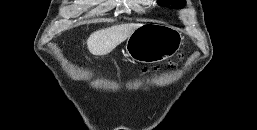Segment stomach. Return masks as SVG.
Wrapping results in <instances>:
<instances>
[{
  "instance_id": "obj_1",
  "label": "stomach",
  "mask_w": 257,
  "mask_h": 130,
  "mask_svg": "<svg viewBox=\"0 0 257 130\" xmlns=\"http://www.w3.org/2000/svg\"><path fill=\"white\" fill-rule=\"evenodd\" d=\"M183 42L180 31L159 21H149L138 26L128 37L126 52L140 63H157L176 54Z\"/></svg>"
}]
</instances>
